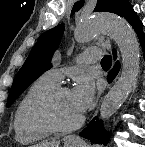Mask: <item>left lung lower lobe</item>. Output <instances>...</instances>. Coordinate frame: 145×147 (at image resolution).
Here are the masks:
<instances>
[{
	"label": "left lung lower lobe",
	"mask_w": 145,
	"mask_h": 147,
	"mask_svg": "<svg viewBox=\"0 0 145 147\" xmlns=\"http://www.w3.org/2000/svg\"><path fill=\"white\" fill-rule=\"evenodd\" d=\"M123 17L132 25V27L134 28L140 39L141 45L145 49V35L142 32V23L136 17V14L131 6H129L128 9L125 11ZM113 55L114 58H116L115 50H113ZM119 69H120L119 62H116L114 68L111 70V72L108 75L109 82H111L115 78ZM81 136L86 139H90V141L93 143H99V144H106L109 140V135L104 130L102 122L96 118H94L90 122L88 127L83 130Z\"/></svg>",
	"instance_id": "left-lung-lower-lobe-1"
}]
</instances>
